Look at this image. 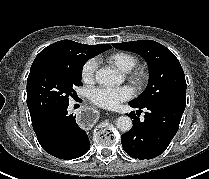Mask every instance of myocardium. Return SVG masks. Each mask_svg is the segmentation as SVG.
Here are the masks:
<instances>
[{"mask_svg": "<svg viewBox=\"0 0 209 179\" xmlns=\"http://www.w3.org/2000/svg\"><path fill=\"white\" fill-rule=\"evenodd\" d=\"M128 80L137 89H143L149 80V73L143 67H136L127 72Z\"/></svg>", "mask_w": 209, "mask_h": 179, "instance_id": "obj_1", "label": "myocardium"}]
</instances>
